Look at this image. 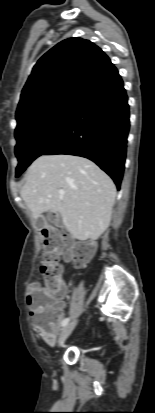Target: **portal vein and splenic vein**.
<instances>
[{
    "label": "portal vein and splenic vein",
    "mask_w": 155,
    "mask_h": 413,
    "mask_svg": "<svg viewBox=\"0 0 155 413\" xmlns=\"http://www.w3.org/2000/svg\"><path fill=\"white\" fill-rule=\"evenodd\" d=\"M59 194H60V195H64V191H63V190H59Z\"/></svg>",
    "instance_id": "portal-vein-and-splenic-vein-1"
}]
</instances>
